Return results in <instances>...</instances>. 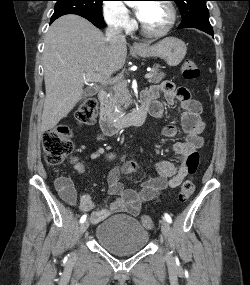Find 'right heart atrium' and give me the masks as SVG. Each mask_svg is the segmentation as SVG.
I'll use <instances>...</instances> for the list:
<instances>
[{"label":"right heart atrium","instance_id":"d8ad5b80","mask_svg":"<svg viewBox=\"0 0 250 285\" xmlns=\"http://www.w3.org/2000/svg\"><path fill=\"white\" fill-rule=\"evenodd\" d=\"M103 16L106 23L117 30L127 31L133 25V20L125 4L120 0H108L103 5Z\"/></svg>","mask_w":250,"mask_h":285}]
</instances>
